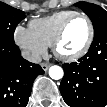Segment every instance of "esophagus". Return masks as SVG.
I'll list each match as a JSON object with an SVG mask.
<instances>
[{"mask_svg":"<svg viewBox=\"0 0 107 107\" xmlns=\"http://www.w3.org/2000/svg\"><path fill=\"white\" fill-rule=\"evenodd\" d=\"M50 66V63H41V67L44 71H47Z\"/></svg>","mask_w":107,"mask_h":107,"instance_id":"34e87169","label":"esophagus"}]
</instances>
